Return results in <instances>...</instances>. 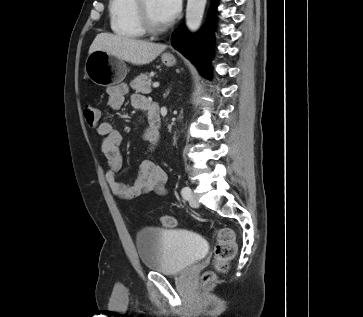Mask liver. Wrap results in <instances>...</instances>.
Wrapping results in <instances>:
<instances>
[{"instance_id": "6515ba94", "label": "liver", "mask_w": 363, "mask_h": 317, "mask_svg": "<svg viewBox=\"0 0 363 317\" xmlns=\"http://www.w3.org/2000/svg\"><path fill=\"white\" fill-rule=\"evenodd\" d=\"M166 49V45L144 40L114 35L98 34L89 48V54L102 50L134 65H144L152 62Z\"/></svg>"}]
</instances>
